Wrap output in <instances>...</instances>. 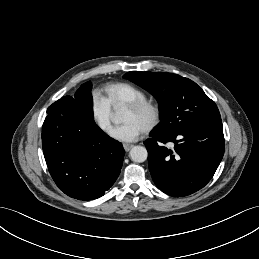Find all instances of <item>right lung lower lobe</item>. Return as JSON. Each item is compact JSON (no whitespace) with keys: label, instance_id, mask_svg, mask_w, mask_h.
I'll return each mask as SVG.
<instances>
[{"label":"right lung lower lobe","instance_id":"1","mask_svg":"<svg viewBox=\"0 0 259 259\" xmlns=\"http://www.w3.org/2000/svg\"><path fill=\"white\" fill-rule=\"evenodd\" d=\"M42 126L49 172L68 196L92 200L104 195L120 174L125 151L87 119L70 96L54 102Z\"/></svg>","mask_w":259,"mask_h":259}]
</instances>
